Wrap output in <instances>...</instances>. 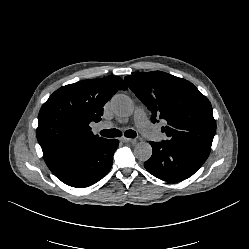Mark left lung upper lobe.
<instances>
[{"label": "left lung upper lobe", "instance_id": "left-lung-upper-lobe-1", "mask_svg": "<svg viewBox=\"0 0 249 249\" xmlns=\"http://www.w3.org/2000/svg\"><path fill=\"white\" fill-rule=\"evenodd\" d=\"M129 88L151 111V121L169 137L164 142L210 153L216 132L209 100L189 81L161 71L126 76Z\"/></svg>", "mask_w": 249, "mask_h": 249}]
</instances>
